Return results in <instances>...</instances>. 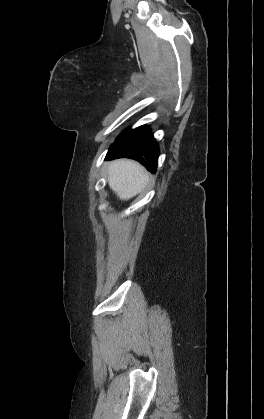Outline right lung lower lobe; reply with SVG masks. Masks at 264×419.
<instances>
[{
    "instance_id": "1",
    "label": "right lung lower lobe",
    "mask_w": 264,
    "mask_h": 419,
    "mask_svg": "<svg viewBox=\"0 0 264 419\" xmlns=\"http://www.w3.org/2000/svg\"><path fill=\"white\" fill-rule=\"evenodd\" d=\"M159 156L158 144L144 126L128 130L111 145L106 160L131 158L143 164L147 170L156 171Z\"/></svg>"
}]
</instances>
